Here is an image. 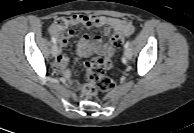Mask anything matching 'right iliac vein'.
I'll return each instance as SVG.
<instances>
[{"instance_id": "obj_1", "label": "right iliac vein", "mask_w": 194, "mask_h": 133, "mask_svg": "<svg viewBox=\"0 0 194 133\" xmlns=\"http://www.w3.org/2000/svg\"><path fill=\"white\" fill-rule=\"evenodd\" d=\"M51 52H52V55H53L54 57H57V56H58L59 49H58L57 45H53V46H52Z\"/></svg>"}]
</instances>
